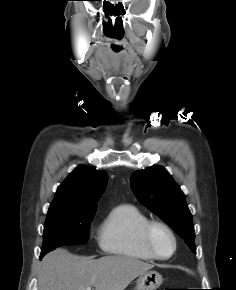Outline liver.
I'll use <instances>...</instances> for the list:
<instances>
[{
	"label": "liver",
	"instance_id": "liver-1",
	"mask_svg": "<svg viewBox=\"0 0 236 290\" xmlns=\"http://www.w3.org/2000/svg\"><path fill=\"white\" fill-rule=\"evenodd\" d=\"M153 267L132 257L113 255L91 259L58 248L47 253L40 263L38 290H85L87 287L124 290Z\"/></svg>",
	"mask_w": 236,
	"mask_h": 290
}]
</instances>
